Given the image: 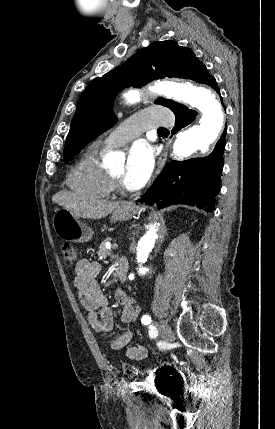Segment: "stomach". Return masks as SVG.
<instances>
[{"instance_id":"stomach-1","label":"stomach","mask_w":275,"mask_h":429,"mask_svg":"<svg viewBox=\"0 0 275 429\" xmlns=\"http://www.w3.org/2000/svg\"><path fill=\"white\" fill-rule=\"evenodd\" d=\"M136 213V208L128 203L121 204L113 212L112 219L117 221L129 220ZM53 227L56 234L64 240L73 242H88L92 239L93 231L82 223L72 213L62 208L53 216Z\"/></svg>"}]
</instances>
